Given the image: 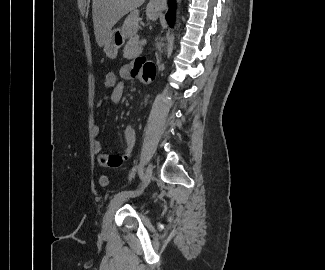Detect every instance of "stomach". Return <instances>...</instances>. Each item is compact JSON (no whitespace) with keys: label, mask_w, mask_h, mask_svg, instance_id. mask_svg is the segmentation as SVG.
I'll use <instances>...</instances> for the list:
<instances>
[{"label":"stomach","mask_w":325,"mask_h":270,"mask_svg":"<svg viewBox=\"0 0 325 270\" xmlns=\"http://www.w3.org/2000/svg\"><path fill=\"white\" fill-rule=\"evenodd\" d=\"M146 14L150 20H157L160 15L159 11L150 7L147 8ZM125 38L126 37L121 30L110 31L108 39L104 44V52L106 56L111 59L116 58L118 49L124 44Z\"/></svg>","instance_id":"0dacf381"}]
</instances>
